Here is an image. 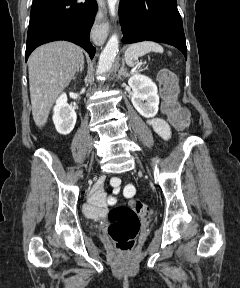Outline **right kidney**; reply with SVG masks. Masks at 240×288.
I'll use <instances>...</instances> for the list:
<instances>
[{"label": "right kidney", "instance_id": "right-kidney-1", "mask_svg": "<svg viewBox=\"0 0 240 288\" xmlns=\"http://www.w3.org/2000/svg\"><path fill=\"white\" fill-rule=\"evenodd\" d=\"M53 112V122L57 132L68 135L75 126L77 115L72 106L67 103L65 93H62L56 100Z\"/></svg>", "mask_w": 240, "mask_h": 288}]
</instances>
